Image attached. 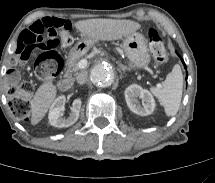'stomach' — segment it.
<instances>
[{
    "instance_id": "obj_1",
    "label": "stomach",
    "mask_w": 215,
    "mask_h": 183,
    "mask_svg": "<svg viewBox=\"0 0 215 183\" xmlns=\"http://www.w3.org/2000/svg\"><path fill=\"white\" fill-rule=\"evenodd\" d=\"M95 42L94 39L84 38L80 40L71 49L68 61H72L85 54ZM123 49L129 58L131 64L138 69H143L148 66L151 61L147 41L140 33L133 32L123 40Z\"/></svg>"
}]
</instances>
